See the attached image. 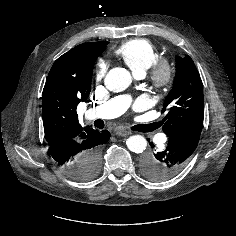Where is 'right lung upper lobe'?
<instances>
[{
  "label": "right lung upper lobe",
  "instance_id": "obj_1",
  "mask_svg": "<svg viewBox=\"0 0 236 236\" xmlns=\"http://www.w3.org/2000/svg\"><path fill=\"white\" fill-rule=\"evenodd\" d=\"M107 44V41L80 44L54 62L42 94L43 126L49 146L79 141L96 131L79 124L76 108L90 94L95 60Z\"/></svg>",
  "mask_w": 236,
  "mask_h": 236
}]
</instances>
